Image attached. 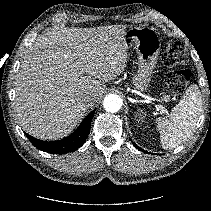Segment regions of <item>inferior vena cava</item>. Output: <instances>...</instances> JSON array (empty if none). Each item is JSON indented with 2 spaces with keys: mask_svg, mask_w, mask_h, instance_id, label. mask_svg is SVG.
Masks as SVG:
<instances>
[{
  "mask_svg": "<svg viewBox=\"0 0 211 211\" xmlns=\"http://www.w3.org/2000/svg\"><path fill=\"white\" fill-rule=\"evenodd\" d=\"M95 101V97L93 95H85L83 97V102L86 104H92Z\"/></svg>",
  "mask_w": 211,
  "mask_h": 211,
  "instance_id": "obj_1",
  "label": "inferior vena cava"
}]
</instances>
